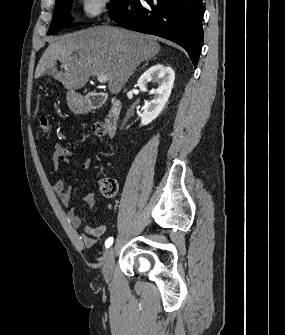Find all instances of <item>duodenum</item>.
<instances>
[{
    "label": "duodenum",
    "mask_w": 285,
    "mask_h": 335,
    "mask_svg": "<svg viewBox=\"0 0 285 335\" xmlns=\"http://www.w3.org/2000/svg\"><path fill=\"white\" fill-rule=\"evenodd\" d=\"M106 101L103 93H92L81 102V108L88 112L99 108ZM122 105L120 100L113 98L104 121V127L109 136H113L117 130L121 115Z\"/></svg>",
    "instance_id": "410a0bca"
}]
</instances>
